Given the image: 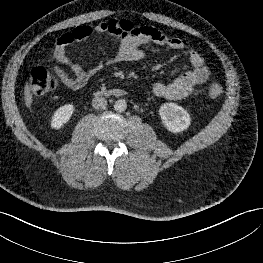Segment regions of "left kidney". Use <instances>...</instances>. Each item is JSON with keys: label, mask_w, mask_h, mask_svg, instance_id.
<instances>
[{"label": "left kidney", "mask_w": 263, "mask_h": 263, "mask_svg": "<svg viewBox=\"0 0 263 263\" xmlns=\"http://www.w3.org/2000/svg\"><path fill=\"white\" fill-rule=\"evenodd\" d=\"M159 115L164 126L173 133L186 130L191 124L188 112L175 103H165L159 109Z\"/></svg>", "instance_id": "left-kidney-1"}]
</instances>
